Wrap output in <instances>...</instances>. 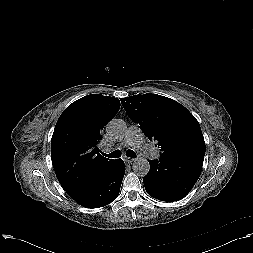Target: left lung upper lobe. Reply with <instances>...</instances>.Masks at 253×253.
Returning <instances> with one entry per match:
<instances>
[{
  "label": "left lung upper lobe",
  "mask_w": 253,
  "mask_h": 253,
  "mask_svg": "<svg viewBox=\"0 0 253 253\" xmlns=\"http://www.w3.org/2000/svg\"><path fill=\"white\" fill-rule=\"evenodd\" d=\"M120 100L132 121L140 125L150 141L156 142L161 157L185 156L204 160L206 148L200 125L184 106L151 93Z\"/></svg>",
  "instance_id": "1"
}]
</instances>
